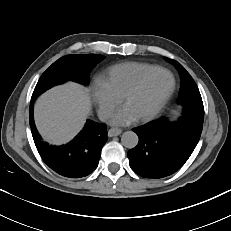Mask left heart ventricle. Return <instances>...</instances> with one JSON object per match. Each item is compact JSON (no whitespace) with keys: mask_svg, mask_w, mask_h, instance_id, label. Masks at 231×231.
<instances>
[{"mask_svg":"<svg viewBox=\"0 0 231 231\" xmlns=\"http://www.w3.org/2000/svg\"><path fill=\"white\" fill-rule=\"evenodd\" d=\"M172 85L171 76L162 72L154 76L139 92L130 97L127 106L136 118L147 115L157 108Z\"/></svg>","mask_w":231,"mask_h":231,"instance_id":"obj_1","label":"left heart ventricle"}]
</instances>
